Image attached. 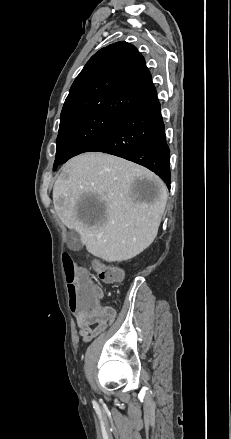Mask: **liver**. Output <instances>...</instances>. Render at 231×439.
Instances as JSON below:
<instances>
[{
  "instance_id": "liver-1",
  "label": "liver",
  "mask_w": 231,
  "mask_h": 439,
  "mask_svg": "<svg viewBox=\"0 0 231 439\" xmlns=\"http://www.w3.org/2000/svg\"><path fill=\"white\" fill-rule=\"evenodd\" d=\"M141 178L153 183L148 196L138 187ZM167 197L164 182L149 169L100 152L70 159L53 188L62 223L78 232L90 254L108 262L132 259L154 241ZM86 198L96 202L91 209L81 207Z\"/></svg>"
}]
</instances>
